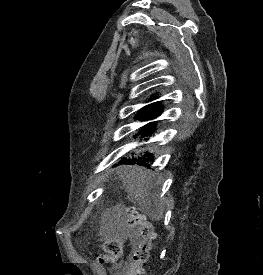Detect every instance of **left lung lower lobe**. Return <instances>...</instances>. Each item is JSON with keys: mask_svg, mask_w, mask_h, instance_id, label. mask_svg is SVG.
<instances>
[{"mask_svg": "<svg viewBox=\"0 0 263 275\" xmlns=\"http://www.w3.org/2000/svg\"><path fill=\"white\" fill-rule=\"evenodd\" d=\"M162 113V106L160 104H158V102L156 103H152L149 104L145 107H143L140 112L137 114L136 118L140 119L142 121L145 120H152L156 117H158L160 114ZM155 123H149L147 125L144 126V131L141 130L139 131L138 134L144 136H148L149 134H152L155 129H153ZM136 137V135L134 136ZM154 158L152 157L151 153H145L141 156L138 157H134L132 156V158H123L120 163H124L127 165H139V166H149L150 162H153Z\"/></svg>", "mask_w": 263, "mask_h": 275, "instance_id": "0a47b994", "label": "left lung lower lobe"}]
</instances>
